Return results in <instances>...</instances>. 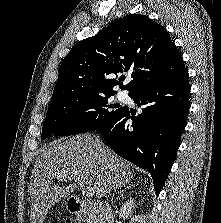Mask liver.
<instances>
[{"label":"liver","instance_id":"6515ba94","mask_svg":"<svg viewBox=\"0 0 221 223\" xmlns=\"http://www.w3.org/2000/svg\"><path fill=\"white\" fill-rule=\"evenodd\" d=\"M71 175L92 187L98 199L134 179L130 164L96 135L79 134L45 145L40 149L30 179V223H43L51 206L74 192L76 184L53 185V179L65 181Z\"/></svg>","mask_w":221,"mask_h":223}]
</instances>
